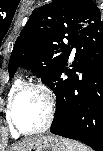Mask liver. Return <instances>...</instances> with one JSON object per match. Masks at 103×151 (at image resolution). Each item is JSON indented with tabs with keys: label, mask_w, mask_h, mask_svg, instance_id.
Listing matches in <instances>:
<instances>
[{
	"label": "liver",
	"mask_w": 103,
	"mask_h": 151,
	"mask_svg": "<svg viewBox=\"0 0 103 151\" xmlns=\"http://www.w3.org/2000/svg\"><path fill=\"white\" fill-rule=\"evenodd\" d=\"M35 140V138L25 140L19 144H16L11 151H26L27 148L31 145V143Z\"/></svg>",
	"instance_id": "1"
}]
</instances>
